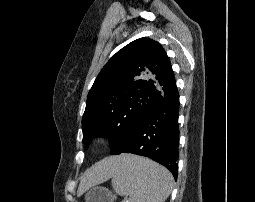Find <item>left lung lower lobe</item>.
<instances>
[{
  "label": "left lung lower lobe",
  "mask_w": 255,
  "mask_h": 202,
  "mask_svg": "<svg viewBox=\"0 0 255 202\" xmlns=\"http://www.w3.org/2000/svg\"><path fill=\"white\" fill-rule=\"evenodd\" d=\"M178 112L179 95L176 90L164 97L147 114L120 153L148 157L168 168L176 180L179 156Z\"/></svg>",
  "instance_id": "obj_1"
}]
</instances>
